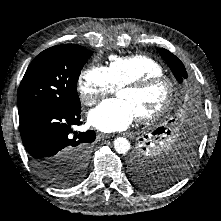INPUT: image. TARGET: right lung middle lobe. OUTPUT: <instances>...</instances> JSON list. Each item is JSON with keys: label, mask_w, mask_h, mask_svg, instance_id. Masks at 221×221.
Wrapping results in <instances>:
<instances>
[{"label": "right lung middle lobe", "mask_w": 221, "mask_h": 221, "mask_svg": "<svg viewBox=\"0 0 221 221\" xmlns=\"http://www.w3.org/2000/svg\"><path fill=\"white\" fill-rule=\"evenodd\" d=\"M92 52L76 44H63L42 51L28 66L18 89V111L31 105L49 104L79 109L77 81ZM92 143V142H91ZM90 144L67 152L63 161L38 173L55 187H70L84 176Z\"/></svg>", "instance_id": "dd1d6c3e"}]
</instances>
